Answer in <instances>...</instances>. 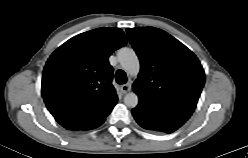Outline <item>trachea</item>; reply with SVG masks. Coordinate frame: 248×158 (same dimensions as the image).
Listing matches in <instances>:
<instances>
[{
    "instance_id": "obj_1",
    "label": "trachea",
    "mask_w": 248,
    "mask_h": 158,
    "mask_svg": "<svg viewBox=\"0 0 248 158\" xmlns=\"http://www.w3.org/2000/svg\"><path fill=\"white\" fill-rule=\"evenodd\" d=\"M116 81L118 84H125L127 82V76L123 70H117Z\"/></svg>"
}]
</instances>
